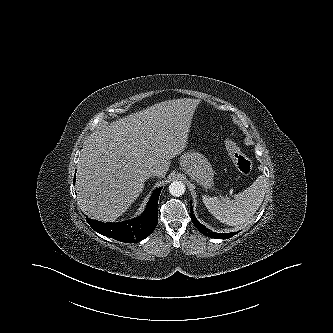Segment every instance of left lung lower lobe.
<instances>
[{
  "label": "left lung lower lobe",
  "mask_w": 333,
  "mask_h": 333,
  "mask_svg": "<svg viewBox=\"0 0 333 333\" xmlns=\"http://www.w3.org/2000/svg\"><path fill=\"white\" fill-rule=\"evenodd\" d=\"M191 219L193 224L195 225V227L204 235L208 236V237H212L215 239H228L231 238L232 236L236 235L238 232H230V233H215L212 232L211 230H209L208 228H206L204 225H202L201 223H199V221L195 218V216L193 215V211H192V204H191Z\"/></svg>",
  "instance_id": "left-lung-lower-lobe-1"
}]
</instances>
